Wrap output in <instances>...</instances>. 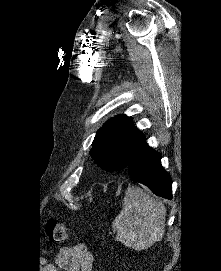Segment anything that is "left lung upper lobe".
I'll use <instances>...</instances> for the list:
<instances>
[{
    "instance_id": "5c2ea615",
    "label": "left lung upper lobe",
    "mask_w": 221,
    "mask_h": 271,
    "mask_svg": "<svg viewBox=\"0 0 221 271\" xmlns=\"http://www.w3.org/2000/svg\"><path fill=\"white\" fill-rule=\"evenodd\" d=\"M144 141V135L133 125L131 118L117 115L97 131L90 155L106 171L126 169L133 153Z\"/></svg>"
}]
</instances>
